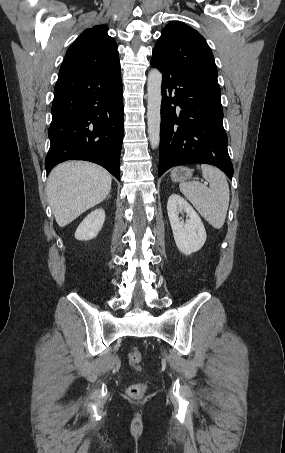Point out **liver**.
<instances>
[{"mask_svg":"<svg viewBox=\"0 0 285 453\" xmlns=\"http://www.w3.org/2000/svg\"><path fill=\"white\" fill-rule=\"evenodd\" d=\"M111 181L109 172L90 162L56 166L47 180V194L57 224L64 227L102 202L111 190Z\"/></svg>","mask_w":285,"mask_h":453,"instance_id":"6515ba94","label":"liver"}]
</instances>
